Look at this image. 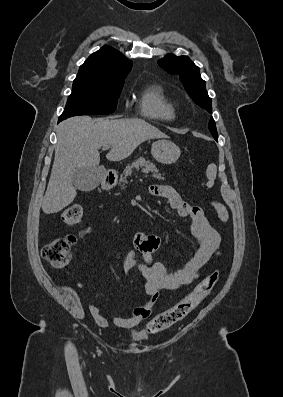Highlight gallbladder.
Instances as JSON below:
<instances>
[{
  "label": "gallbladder",
  "mask_w": 283,
  "mask_h": 397,
  "mask_svg": "<svg viewBox=\"0 0 283 397\" xmlns=\"http://www.w3.org/2000/svg\"><path fill=\"white\" fill-rule=\"evenodd\" d=\"M103 174V168L76 167L72 174L73 184L78 190L89 192L100 184Z\"/></svg>",
  "instance_id": "gallbladder-1"
}]
</instances>
